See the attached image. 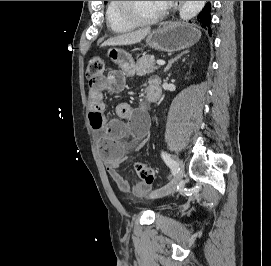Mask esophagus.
Wrapping results in <instances>:
<instances>
[{"instance_id": "obj_1", "label": "esophagus", "mask_w": 271, "mask_h": 266, "mask_svg": "<svg viewBox=\"0 0 271 266\" xmlns=\"http://www.w3.org/2000/svg\"><path fill=\"white\" fill-rule=\"evenodd\" d=\"M183 2L184 1H176L175 5H174V10L175 11L178 10L181 7V5L183 4Z\"/></svg>"}]
</instances>
